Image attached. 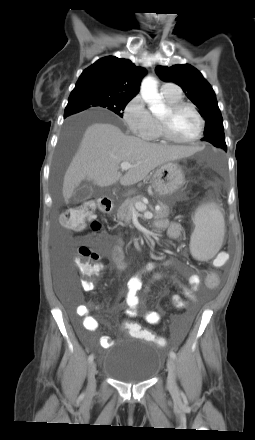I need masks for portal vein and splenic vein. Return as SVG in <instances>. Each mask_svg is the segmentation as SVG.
Instances as JSON below:
<instances>
[{"mask_svg": "<svg viewBox=\"0 0 255 440\" xmlns=\"http://www.w3.org/2000/svg\"><path fill=\"white\" fill-rule=\"evenodd\" d=\"M132 167V165L128 162H122L120 164V168L122 170H128ZM137 211L139 212H143L144 213V217L147 219H151L153 217V214L150 211H147L146 205H144L143 203H136L132 209L131 212L132 213H137Z\"/></svg>", "mask_w": 255, "mask_h": 440, "instance_id": "obj_1", "label": "portal vein and splenic vein"}]
</instances>
